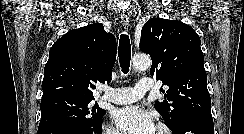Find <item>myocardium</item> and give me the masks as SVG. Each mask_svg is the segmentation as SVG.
Masks as SVG:
<instances>
[{"instance_id": "obj_1", "label": "myocardium", "mask_w": 244, "mask_h": 134, "mask_svg": "<svg viewBox=\"0 0 244 134\" xmlns=\"http://www.w3.org/2000/svg\"><path fill=\"white\" fill-rule=\"evenodd\" d=\"M156 128L163 134H173L171 129L164 123H158Z\"/></svg>"}]
</instances>
